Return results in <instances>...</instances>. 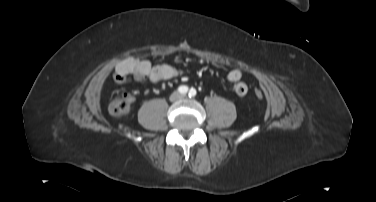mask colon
Listing matches in <instances>:
<instances>
[{
    "label": "colon",
    "instance_id": "obj_1",
    "mask_svg": "<svg viewBox=\"0 0 376 202\" xmlns=\"http://www.w3.org/2000/svg\"><path fill=\"white\" fill-rule=\"evenodd\" d=\"M255 95L258 99L263 98V92L261 90H256ZM133 101L134 97L131 94H122L111 103L109 108L110 114L114 117L127 115L131 110Z\"/></svg>",
    "mask_w": 376,
    "mask_h": 202
}]
</instances>
